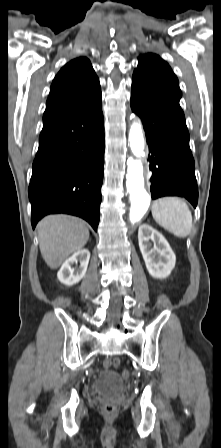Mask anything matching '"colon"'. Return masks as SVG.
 Wrapping results in <instances>:
<instances>
[{"label": "colon", "mask_w": 221, "mask_h": 448, "mask_svg": "<svg viewBox=\"0 0 221 448\" xmlns=\"http://www.w3.org/2000/svg\"><path fill=\"white\" fill-rule=\"evenodd\" d=\"M111 367L114 368H119L120 367V361L118 359H114V360H110V359H105L103 361V368L105 370L110 369ZM121 374L124 378H128L130 376V372L126 369H123L121 371ZM102 412L103 414L108 417V418H113L116 416L117 414V407L115 404L107 402L105 404H103L102 406Z\"/></svg>", "instance_id": "5ec220e1"}]
</instances>
